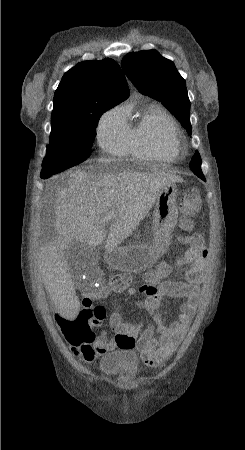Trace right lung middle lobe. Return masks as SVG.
I'll use <instances>...</instances> for the list:
<instances>
[{
    "label": "right lung middle lobe",
    "mask_w": 245,
    "mask_h": 450,
    "mask_svg": "<svg viewBox=\"0 0 245 450\" xmlns=\"http://www.w3.org/2000/svg\"><path fill=\"white\" fill-rule=\"evenodd\" d=\"M116 103L93 104L85 112L59 114L51 119L49 151L41 176L49 177L85 161L96 136L101 114Z\"/></svg>",
    "instance_id": "1"
}]
</instances>
